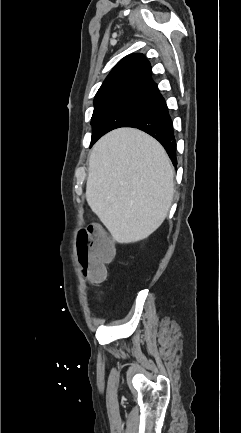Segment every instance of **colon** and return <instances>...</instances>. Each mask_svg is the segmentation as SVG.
Segmentation results:
<instances>
[{"mask_svg": "<svg viewBox=\"0 0 241 433\" xmlns=\"http://www.w3.org/2000/svg\"><path fill=\"white\" fill-rule=\"evenodd\" d=\"M77 272H86L94 281H102L106 276L105 263L110 261L114 254V246L110 237L101 229L93 236V229H83L78 234Z\"/></svg>", "mask_w": 241, "mask_h": 433, "instance_id": "obj_1", "label": "colon"}]
</instances>
